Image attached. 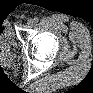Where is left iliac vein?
Returning a JSON list of instances; mask_svg holds the SVG:
<instances>
[{
  "label": "left iliac vein",
  "mask_w": 93,
  "mask_h": 93,
  "mask_svg": "<svg viewBox=\"0 0 93 93\" xmlns=\"http://www.w3.org/2000/svg\"><path fill=\"white\" fill-rule=\"evenodd\" d=\"M33 23H34L33 19H28V20H27V24H28V25H32Z\"/></svg>",
  "instance_id": "4c4485c4"
}]
</instances>
